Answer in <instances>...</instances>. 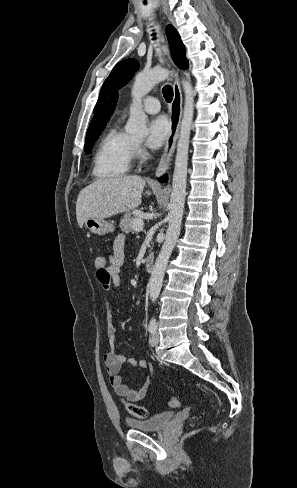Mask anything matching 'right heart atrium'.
<instances>
[{
	"label": "right heart atrium",
	"mask_w": 297,
	"mask_h": 488,
	"mask_svg": "<svg viewBox=\"0 0 297 488\" xmlns=\"http://www.w3.org/2000/svg\"><path fill=\"white\" fill-rule=\"evenodd\" d=\"M133 150L134 152L139 151V146L137 144H133Z\"/></svg>",
	"instance_id": "d8ad5b80"
}]
</instances>
